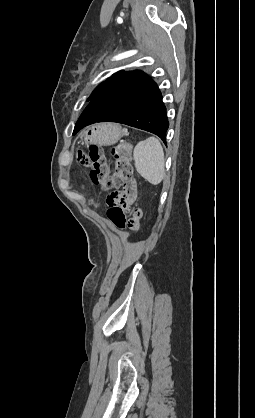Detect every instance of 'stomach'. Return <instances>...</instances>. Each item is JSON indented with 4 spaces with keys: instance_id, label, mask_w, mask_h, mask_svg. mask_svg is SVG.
Wrapping results in <instances>:
<instances>
[{
    "instance_id": "0dacf381",
    "label": "stomach",
    "mask_w": 255,
    "mask_h": 418,
    "mask_svg": "<svg viewBox=\"0 0 255 418\" xmlns=\"http://www.w3.org/2000/svg\"><path fill=\"white\" fill-rule=\"evenodd\" d=\"M122 136L120 127L114 124H99L88 129L84 134V140L90 144L112 145Z\"/></svg>"
}]
</instances>
